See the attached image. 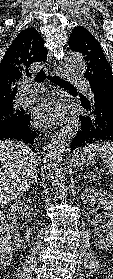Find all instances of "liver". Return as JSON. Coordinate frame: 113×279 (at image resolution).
<instances>
[{"label":"liver","mask_w":113,"mask_h":279,"mask_svg":"<svg viewBox=\"0 0 113 279\" xmlns=\"http://www.w3.org/2000/svg\"><path fill=\"white\" fill-rule=\"evenodd\" d=\"M39 158L25 144L0 140V206L19 199L32 183Z\"/></svg>","instance_id":"obj_1"}]
</instances>
